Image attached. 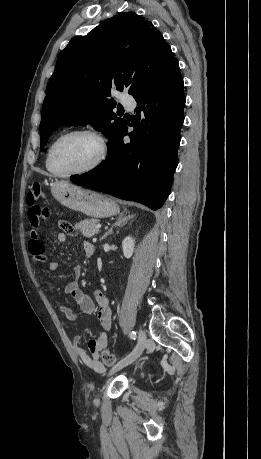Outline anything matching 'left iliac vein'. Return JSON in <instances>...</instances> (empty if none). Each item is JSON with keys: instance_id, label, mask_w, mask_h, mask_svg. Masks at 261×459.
<instances>
[{"instance_id": "left-iliac-vein-1", "label": "left iliac vein", "mask_w": 261, "mask_h": 459, "mask_svg": "<svg viewBox=\"0 0 261 459\" xmlns=\"http://www.w3.org/2000/svg\"><path fill=\"white\" fill-rule=\"evenodd\" d=\"M146 345H147L146 334L142 329H139L138 330V342H137L136 347L130 354H128L123 359H121L117 364H115L111 368L109 375L116 373L117 371L121 370L122 368L136 361L140 357L142 352L144 351ZM96 403H98V400H96Z\"/></svg>"}]
</instances>
